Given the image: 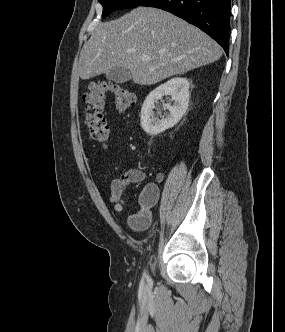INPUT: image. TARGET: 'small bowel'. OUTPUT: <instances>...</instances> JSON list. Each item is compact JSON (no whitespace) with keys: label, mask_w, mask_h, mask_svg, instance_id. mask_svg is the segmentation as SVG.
<instances>
[{"label":"small bowel","mask_w":285,"mask_h":332,"mask_svg":"<svg viewBox=\"0 0 285 332\" xmlns=\"http://www.w3.org/2000/svg\"><path fill=\"white\" fill-rule=\"evenodd\" d=\"M146 179V173L140 169L131 168L125 170L119 177L110 183V202L116 212H121L126 207L124 194L129 184L139 183ZM164 179V174L158 172L155 183L147 184L139 196L140 210L131 215L129 224L135 229L148 227L151 221V208L157 203L160 195L158 184Z\"/></svg>","instance_id":"small-bowel-1"}]
</instances>
